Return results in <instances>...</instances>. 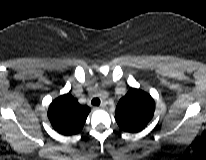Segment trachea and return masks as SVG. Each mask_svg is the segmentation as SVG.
<instances>
[{"instance_id": "trachea-1", "label": "trachea", "mask_w": 206, "mask_h": 160, "mask_svg": "<svg viewBox=\"0 0 206 160\" xmlns=\"http://www.w3.org/2000/svg\"><path fill=\"white\" fill-rule=\"evenodd\" d=\"M91 104L94 106H99L100 105V99L99 98H93L91 101Z\"/></svg>"}]
</instances>
